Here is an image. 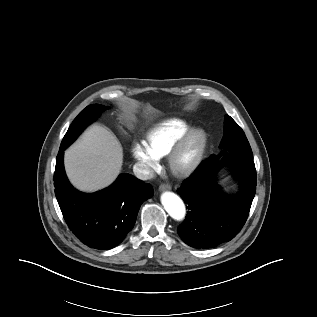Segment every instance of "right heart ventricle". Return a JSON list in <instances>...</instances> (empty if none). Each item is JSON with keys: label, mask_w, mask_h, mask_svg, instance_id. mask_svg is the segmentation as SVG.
Here are the masks:
<instances>
[{"label": "right heart ventricle", "mask_w": 317, "mask_h": 317, "mask_svg": "<svg viewBox=\"0 0 317 317\" xmlns=\"http://www.w3.org/2000/svg\"><path fill=\"white\" fill-rule=\"evenodd\" d=\"M188 130L187 123L178 119H170L147 132L146 144L158 158H161L170 153Z\"/></svg>", "instance_id": "1"}]
</instances>
